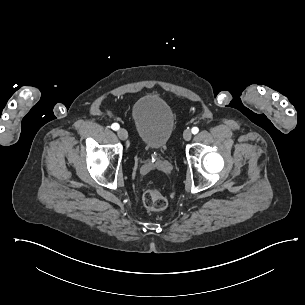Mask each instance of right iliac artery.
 Segmentation results:
<instances>
[{
	"instance_id": "1",
	"label": "right iliac artery",
	"mask_w": 305,
	"mask_h": 305,
	"mask_svg": "<svg viewBox=\"0 0 305 305\" xmlns=\"http://www.w3.org/2000/svg\"><path fill=\"white\" fill-rule=\"evenodd\" d=\"M111 128H112L113 130H118V129L120 128V126H119L118 123H113L112 126H111Z\"/></svg>"
}]
</instances>
